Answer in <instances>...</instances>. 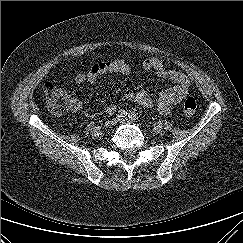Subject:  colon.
Masks as SVG:
<instances>
[{
    "instance_id": "obj_1",
    "label": "colon",
    "mask_w": 243,
    "mask_h": 243,
    "mask_svg": "<svg viewBox=\"0 0 243 243\" xmlns=\"http://www.w3.org/2000/svg\"><path fill=\"white\" fill-rule=\"evenodd\" d=\"M44 94L49 110L55 116H63L73 107L70 93L55 84L48 83L44 87ZM197 109L194 97H187L183 102V111L186 115H193Z\"/></svg>"
}]
</instances>
